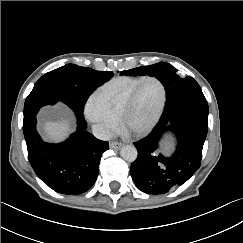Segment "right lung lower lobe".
<instances>
[{
    "mask_svg": "<svg viewBox=\"0 0 243 243\" xmlns=\"http://www.w3.org/2000/svg\"><path fill=\"white\" fill-rule=\"evenodd\" d=\"M67 104L78 118L77 131L60 144L45 143L36 131V114L45 105ZM83 109L57 93L31 92L24 104L23 132L28 158L37 176L61 194H81L95 183L108 142L87 132Z\"/></svg>",
    "mask_w": 243,
    "mask_h": 243,
    "instance_id": "right-lung-lower-lobe-1",
    "label": "right lung lower lobe"
}]
</instances>
